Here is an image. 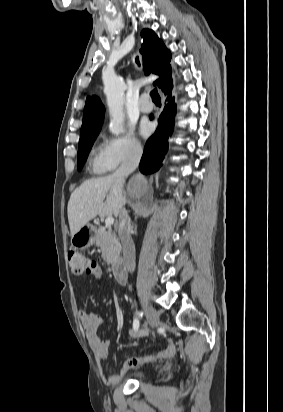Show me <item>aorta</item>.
<instances>
[{
    "mask_svg": "<svg viewBox=\"0 0 283 412\" xmlns=\"http://www.w3.org/2000/svg\"><path fill=\"white\" fill-rule=\"evenodd\" d=\"M124 90L125 84L119 77H112L105 82V95L109 114L111 117L109 129L114 134L123 132L124 123ZM145 189V180L142 177L131 182L130 192L134 195L141 194Z\"/></svg>",
    "mask_w": 283,
    "mask_h": 412,
    "instance_id": "aorta-1",
    "label": "aorta"
}]
</instances>
